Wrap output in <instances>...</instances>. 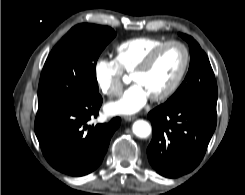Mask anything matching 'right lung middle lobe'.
<instances>
[{"instance_id": "obj_1", "label": "right lung middle lobe", "mask_w": 245, "mask_h": 195, "mask_svg": "<svg viewBox=\"0 0 245 195\" xmlns=\"http://www.w3.org/2000/svg\"><path fill=\"white\" fill-rule=\"evenodd\" d=\"M115 36L116 32L105 26H74L56 44L45 62L38 88V110L98 97L96 62Z\"/></svg>"}]
</instances>
